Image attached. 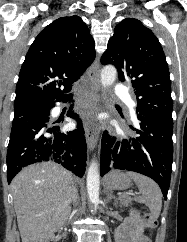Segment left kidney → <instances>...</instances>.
Returning <instances> with one entry per match:
<instances>
[{
  "mask_svg": "<svg viewBox=\"0 0 187 242\" xmlns=\"http://www.w3.org/2000/svg\"><path fill=\"white\" fill-rule=\"evenodd\" d=\"M129 217L115 231V242H138L144 232V223L137 210L131 209Z\"/></svg>",
  "mask_w": 187,
  "mask_h": 242,
  "instance_id": "left-kidney-1",
  "label": "left kidney"
}]
</instances>
